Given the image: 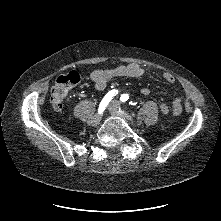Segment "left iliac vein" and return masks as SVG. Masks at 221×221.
Masks as SVG:
<instances>
[{
	"label": "left iliac vein",
	"mask_w": 221,
	"mask_h": 221,
	"mask_svg": "<svg viewBox=\"0 0 221 221\" xmlns=\"http://www.w3.org/2000/svg\"><path fill=\"white\" fill-rule=\"evenodd\" d=\"M120 105V102L118 100H114L110 106H109V110H115L116 108H118V106Z\"/></svg>",
	"instance_id": "left-iliac-vein-1"
}]
</instances>
